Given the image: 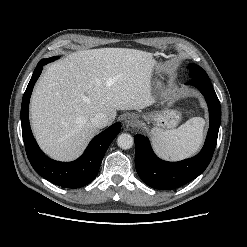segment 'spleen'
I'll list each match as a JSON object with an SVG mask.
<instances>
[{"instance_id": "spleen-1", "label": "spleen", "mask_w": 247, "mask_h": 247, "mask_svg": "<svg viewBox=\"0 0 247 247\" xmlns=\"http://www.w3.org/2000/svg\"><path fill=\"white\" fill-rule=\"evenodd\" d=\"M204 125L203 118L193 117L176 129L153 128L152 144L156 153L171 161L192 156L202 144Z\"/></svg>"}]
</instances>
